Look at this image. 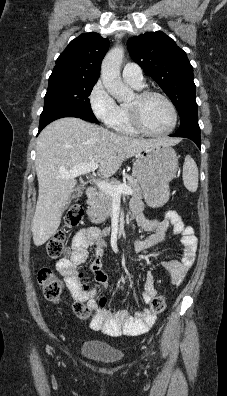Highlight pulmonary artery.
<instances>
[{"label":"pulmonary artery","mask_w":227,"mask_h":396,"mask_svg":"<svg viewBox=\"0 0 227 396\" xmlns=\"http://www.w3.org/2000/svg\"><path fill=\"white\" fill-rule=\"evenodd\" d=\"M122 76L126 82L136 87L144 85L142 69L136 63H127L122 70Z\"/></svg>","instance_id":"e3ab8cb5"}]
</instances>
